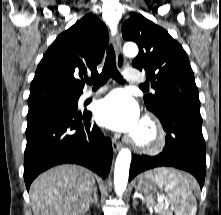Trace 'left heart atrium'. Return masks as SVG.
Masks as SVG:
<instances>
[{
    "label": "left heart atrium",
    "mask_w": 221,
    "mask_h": 215,
    "mask_svg": "<svg viewBox=\"0 0 221 215\" xmlns=\"http://www.w3.org/2000/svg\"><path fill=\"white\" fill-rule=\"evenodd\" d=\"M95 118L102 126L131 135H135L140 128L138 106L122 90L114 91L97 102Z\"/></svg>",
    "instance_id": "1"
}]
</instances>
